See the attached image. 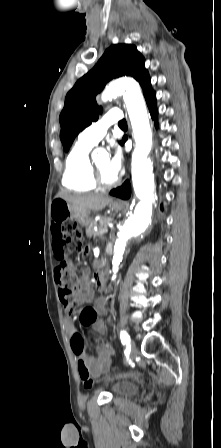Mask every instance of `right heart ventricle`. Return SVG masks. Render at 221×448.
<instances>
[{
  "label": "right heart ventricle",
  "instance_id": "obj_1",
  "mask_svg": "<svg viewBox=\"0 0 221 448\" xmlns=\"http://www.w3.org/2000/svg\"><path fill=\"white\" fill-rule=\"evenodd\" d=\"M91 146L77 142L65 160L62 177L64 187L76 192H90L98 188L93 179L89 151Z\"/></svg>",
  "mask_w": 221,
  "mask_h": 448
}]
</instances>
